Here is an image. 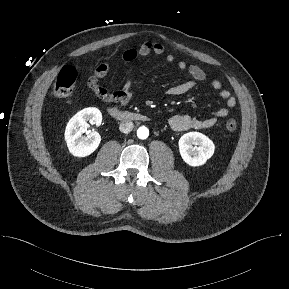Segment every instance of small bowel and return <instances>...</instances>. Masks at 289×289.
Wrapping results in <instances>:
<instances>
[{
  "instance_id": "small-bowel-1",
  "label": "small bowel",
  "mask_w": 289,
  "mask_h": 289,
  "mask_svg": "<svg viewBox=\"0 0 289 289\" xmlns=\"http://www.w3.org/2000/svg\"><path fill=\"white\" fill-rule=\"evenodd\" d=\"M165 49L162 44L158 42L146 41L138 48L125 49L120 57L125 62H131L137 57H146L149 55L161 56L164 55ZM165 60L168 63L174 62V56L167 54ZM177 68L181 72H186L190 79L173 85L166 90L168 96H181L193 90L198 84L204 83L207 80V75L204 70L198 65L187 64L183 61L177 63ZM110 70V62H103L99 64L93 74L88 78L87 85L94 92V94L106 102L117 104V107L126 105L131 99L130 86L125 85L123 89L110 92L105 87L100 85V80L107 76ZM211 87L218 91L220 97L225 102V107L214 111L209 117L199 119L187 114H179L172 116L169 119V125L173 130L183 131L189 129H207L211 128L218 122L219 119L225 118L229 114V109L236 105V99L231 93L222 88V83L219 80H212Z\"/></svg>"
}]
</instances>
